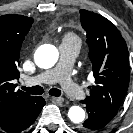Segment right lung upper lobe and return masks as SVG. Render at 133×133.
Returning <instances> with one entry per match:
<instances>
[{
  "label": "right lung upper lobe",
  "instance_id": "right-lung-upper-lobe-1",
  "mask_svg": "<svg viewBox=\"0 0 133 133\" xmlns=\"http://www.w3.org/2000/svg\"><path fill=\"white\" fill-rule=\"evenodd\" d=\"M33 19L23 15L0 16V125L6 122L27 100L33 98L15 89L19 79V53Z\"/></svg>",
  "mask_w": 133,
  "mask_h": 133
}]
</instances>
